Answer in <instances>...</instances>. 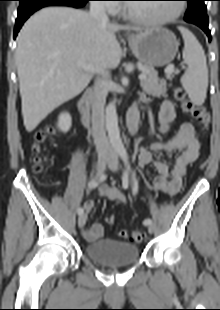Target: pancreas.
I'll return each instance as SVG.
<instances>
[{
    "mask_svg": "<svg viewBox=\"0 0 220 310\" xmlns=\"http://www.w3.org/2000/svg\"><path fill=\"white\" fill-rule=\"evenodd\" d=\"M144 74L146 78L140 83L143 91L154 97L164 96L167 91L166 80H160L158 78V72L153 67L145 66ZM173 77L172 72H166V78L168 80H171Z\"/></svg>",
    "mask_w": 220,
    "mask_h": 310,
    "instance_id": "pancreas-1",
    "label": "pancreas"
}]
</instances>
